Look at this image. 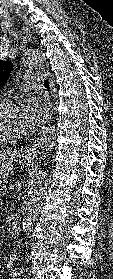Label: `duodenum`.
Masks as SVG:
<instances>
[{
    "mask_svg": "<svg viewBox=\"0 0 113 279\" xmlns=\"http://www.w3.org/2000/svg\"><path fill=\"white\" fill-rule=\"evenodd\" d=\"M10 234L16 237L20 232V221L16 214H12L8 221Z\"/></svg>",
    "mask_w": 113,
    "mask_h": 279,
    "instance_id": "410a0bca",
    "label": "duodenum"
}]
</instances>
